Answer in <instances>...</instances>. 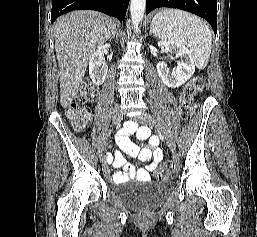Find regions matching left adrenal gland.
Listing matches in <instances>:
<instances>
[{
	"label": "left adrenal gland",
	"mask_w": 257,
	"mask_h": 237,
	"mask_svg": "<svg viewBox=\"0 0 257 237\" xmlns=\"http://www.w3.org/2000/svg\"><path fill=\"white\" fill-rule=\"evenodd\" d=\"M149 33H150V34L153 33L152 27H150Z\"/></svg>",
	"instance_id": "a2214340"
}]
</instances>
